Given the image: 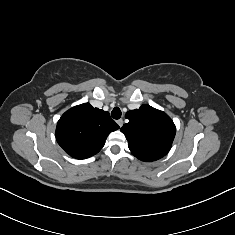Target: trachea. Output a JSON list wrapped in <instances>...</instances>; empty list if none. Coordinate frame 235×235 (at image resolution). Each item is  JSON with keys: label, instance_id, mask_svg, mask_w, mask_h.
<instances>
[{"label": "trachea", "instance_id": "3493384b", "mask_svg": "<svg viewBox=\"0 0 235 235\" xmlns=\"http://www.w3.org/2000/svg\"><path fill=\"white\" fill-rule=\"evenodd\" d=\"M121 110L119 107H115L112 112H111V116L114 118V119H119L121 117Z\"/></svg>", "mask_w": 235, "mask_h": 235}]
</instances>
